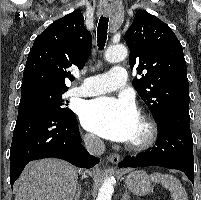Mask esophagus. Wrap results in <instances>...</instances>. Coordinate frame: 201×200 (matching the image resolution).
<instances>
[{
	"label": "esophagus",
	"mask_w": 201,
	"mask_h": 200,
	"mask_svg": "<svg viewBox=\"0 0 201 200\" xmlns=\"http://www.w3.org/2000/svg\"><path fill=\"white\" fill-rule=\"evenodd\" d=\"M110 13H111L110 9L104 10L105 15H110ZM108 159L112 164H117L120 160V156H119V154L114 153V154H111Z\"/></svg>",
	"instance_id": "esophagus-1"
}]
</instances>
